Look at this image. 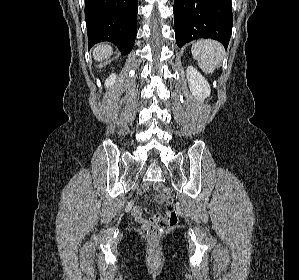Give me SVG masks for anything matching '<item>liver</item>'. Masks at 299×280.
<instances>
[{
  "label": "liver",
  "instance_id": "liver-1",
  "mask_svg": "<svg viewBox=\"0 0 299 280\" xmlns=\"http://www.w3.org/2000/svg\"><path fill=\"white\" fill-rule=\"evenodd\" d=\"M112 53V48L107 44L98 45L93 51V56L96 61H102L108 58Z\"/></svg>",
  "mask_w": 299,
  "mask_h": 280
}]
</instances>
